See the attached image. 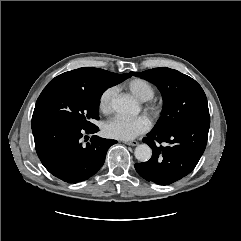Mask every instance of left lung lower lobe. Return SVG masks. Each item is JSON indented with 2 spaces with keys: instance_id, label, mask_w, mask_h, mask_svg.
I'll use <instances>...</instances> for the list:
<instances>
[{
  "instance_id": "left-lung-lower-lobe-1",
  "label": "left lung lower lobe",
  "mask_w": 241,
  "mask_h": 241,
  "mask_svg": "<svg viewBox=\"0 0 241 241\" xmlns=\"http://www.w3.org/2000/svg\"><path fill=\"white\" fill-rule=\"evenodd\" d=\"M210 120L195 121L168 132L151 131L143 139L152 148L149 161L136 163L147 181L168 185L187 176L200 160L208 138ZM165 143V146L159 145Z\"/></svg>"
}]
</instances>
